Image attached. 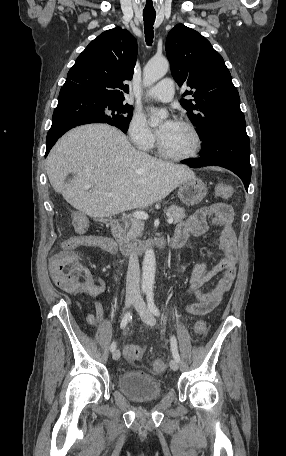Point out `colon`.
Here are the masks:
<instances>
[{"mask_svg": "<svg viewBox=\"0 0 286 456\" xmlns=\"http://www.w3.org/2000/svg\"><path fill=\"white\" fill-rule=\"evenodd\" d=\"M215 193L219 197H229L233 194V188L226 184L217 185ZM73 226L79 233L85 232L88 228L87 221L83 216L74 217ZM62 247L63 250L55 255L51 261L52 276L59 287L68 291H75L85 282L87 271L81 266L77 255L72 252L70 246ZM194 332L198 336H203L207 332V323L203 320L196 322ZM125 355L130 362L139 361L143 358L144 350L137 346L127 351ZM165 369L166 364L163 360H154L153 370L156 373H163Z\"/></svg>", "mask_w": 286, "mask_h": 456, "instance_id": "colon-1", "label": "colon"}]
</instances>
